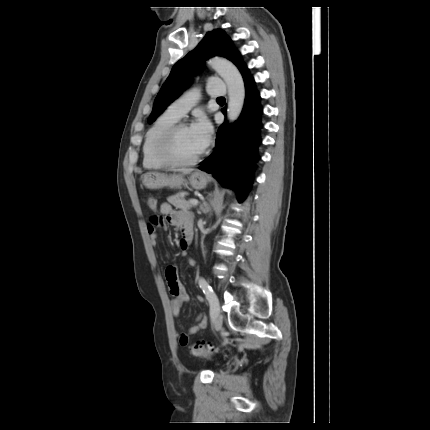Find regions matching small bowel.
<instances>
[{
  "label": "small bowel",
  "mask_w": 430,
  "mask_h": 430,
  "mask_svg": "<svg viewBox=\"0 0 430 430\" xmlns=\"http://www.w3.org/2000/svg\"><path fill=\"white\" fill-rule=\"evenodd\" d=\"M160 211L165 216V219H162L160 217L156 218L154 216L151 217L147 223V232L149 234L150 244L153 247L157 245L158 229L164 227L166 224H170L177 227L182 236L179 241L182 257L187 260L190 266L195 267L197 265V261L187 255V250L193 237L191 215L187 212L173 209V207L166 202L161 204ZM166 278L170 294L172 296V312L173 315L177 317L180 314L182 307L189 302V296L187 295L182 283L178 280L177 269L175 266L168 267L166 272ZM197 301L203 302V298L201 296H197ZM206 324V316L200 314L196 319V324L190 327L186 333L180 334L178 338L179 344L181 346H186L190 341V336L204 329L206 327Z\"/></svg>",
  "instance_id": "small-bowel-1"
}]
</instances>
